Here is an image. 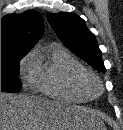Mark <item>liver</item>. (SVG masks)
<instances>
[{"mask_svg": "<svg viewBox=\"0 0 123 130\" xmlns=\"http://www.w3.org/2000/svg\"><path fill=\"white\" fill-rule=\"evenodd\" d=\"M96 114L80 106L30 95L1 93V130H96Z\"/></svg>", "mask_w": 123, "mask_h": 130, "instance_id": "liver-1", "label": "liver"}]
</instances>
